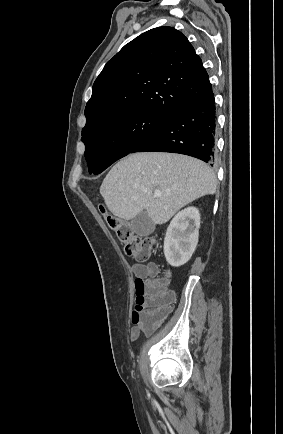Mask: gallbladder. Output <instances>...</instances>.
Masks as SVG:
<instances>
[{
	"label": "gallbladder",
	"mask_w": 283,
	"mask_h": 434,
	"mask_svg": "<svg viewBox=\"0 0 283 434\" xmlns=\"http://www.w3.org/2000/svg\"><path fill=\"white\" fill-rule=\"evenodd\" d=\"M130 226L132 231L139 236H148L153 233L155 229L154 222L145 212H141L131 219Z\"/></svg>",
	"instance_id": "bac80fb5"
}]
</instances>
